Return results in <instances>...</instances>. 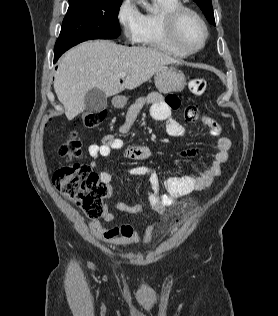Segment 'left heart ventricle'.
Returning <instances> with one entry per match:
<instances>
[{"label": "left heart ventricle", "instance_id": "b2bd125f", "mask_svg": "<svg viewBox=\"0 0 278 316\" xmlns=\"http://www.w3.org/2000/svg\"><path fill=\"white\" fill-rule=\"evenodd\" d=\"M181 33L184 41L191 47L200 45L204 36L200 23L189 15L182 21Z\"/></svg>", "mask_w": 278, "mask_h": 316}]
</instances>
